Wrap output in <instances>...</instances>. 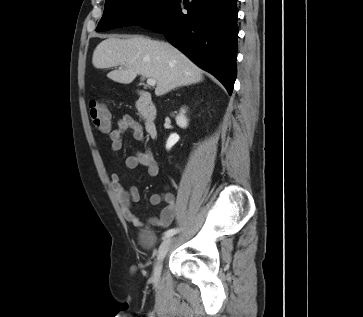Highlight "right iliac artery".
Segmentation results:
<instances>
[{
    "mask_svg": "<svg viewBox=\"0 0 363 317\" xmlns=\"http://www.w3.org/2000/svg\"><path fill=\"white\" fill-rule=\"evenodd\" d=\"M178 232V229H175V228H172V229H169L165 232L164 234V238H168V237H171L173 236L174 234H176Z\"/></svg>",
    "mask_w": 363,
    "mask_h": 317,
    "instance_id": "obj_1",
    "label": "right iliac artery"
}]
</instances>
